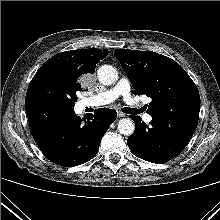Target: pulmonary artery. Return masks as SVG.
Returning <instances> with one entry per match:
<instances>
[{
    "instance_id": "pulmonary-artery-1",
    "label": "pulmonary artery",
    "mask_w": 220,
    "mask_h": 220,
    "mask_svg": "<svg viewBox=\"0 0 220 220\" xmlns=\"http://www.w3.org/2000/svg\"><path fill=\"white\" fill-rule=\"evenodd\" d=\"M118 97H122L129 105L136 104V101L131 95V86L127 78H121L112 88L85 99V105L99 107L113 102ZM143 120L148 123L152 120V116L149 114H144Z\"/></svg>"
}]
</instances>
